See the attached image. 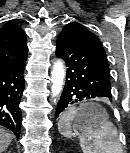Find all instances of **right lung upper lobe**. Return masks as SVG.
I'll return each mask as SVG.
<instances>
[{"instance_id":"1","label":"right lung upper lobe","mask_w":130,"mask_h":153,"mask_svg":"<svg viewBox=\"0 0 130 153\" xmlns=\"http://www.w3.org/2000/svg\"><path fill=\"white\" fill-rule=\"evenodd\" d=\"M27 52L26 33L21 27L8 23L0 28V67L22 63Z\"/></svg>"}]
</instances>
